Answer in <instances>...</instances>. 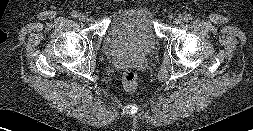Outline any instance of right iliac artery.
<instances>
[{"instance_id":"1","label":"right iliac artery","mask_w":253,"mask_h":131,"mask_svg":"<svg viewBox=\"0 0 253 131\" xmlns=\"http://www.w3.org/2000/svg\"><path fill=\"white\" fill-rule=\"evenodd\" d=\"M71 16H72L73 18H77V17L79 16V14H78L77 11H72V12H71Z\"/></svg>"}]
</instances>
